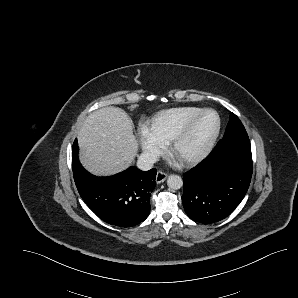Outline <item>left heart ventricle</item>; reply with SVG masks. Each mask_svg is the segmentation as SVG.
Here are the masks:
<instances>
[{"instance_id":"obj_1","label":"left heart ventricle","mask_w":298,"mask_h":298,"mask_svg":"<svg viewBox=\"0 0 298 298\" xmlns=\"http://www.w3.org/2000/svg\"><path fill=\"white\" fill-rule=\"evenodd\" d=\"M214 129L215 118L212 114L201 117L179 142L174 159L179 161L195 153L211 136Z\"/></svg>"}]
</instances>
